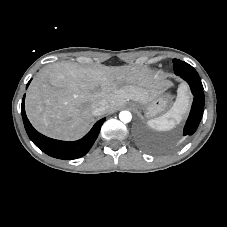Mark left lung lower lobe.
Returning <instances> with one entry per match:
<instances>
[{"mask_svg": "<svg viewBox=\"0 0 227 227\" xmlns=\"http://www.w3.org/2000/svg\"><path fill=\"white\" fill-rule=\"evenodd\" d=\"M190 86L191 92L194 96L192 108L188 120L186 122L183 135L189 136L196 131L204 110V93L203 85L198 74H180Z\"/></svg>", "mask_w": 227, "mask_h": 227, "instance_id": "left-lung-lower-lobe-1", "label": "left lung lower lobe"}]
</instances>
